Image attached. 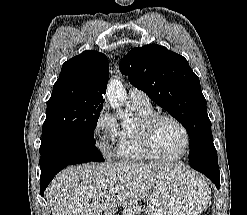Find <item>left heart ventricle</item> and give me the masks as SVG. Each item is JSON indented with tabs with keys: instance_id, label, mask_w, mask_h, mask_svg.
I'll return each instance as SVG.
<instances>
[{
	"instance_id": "obj_1",
	"label": "left heart ventricle",
	"mask_w": 247,
	"mask_h": 215,
	"mask_svg": "<svg viewBox=\"0 0 247 215\" xmlns=\"http://www.w3.org/2000/svg\"><path fill=\"white\" fill-rule=\"evenodd\" d=\"M157 150L164 156H179L185 147V138L180 127L170 120L160 121L154 130Z\"/></svg>"
}]
</instances>
